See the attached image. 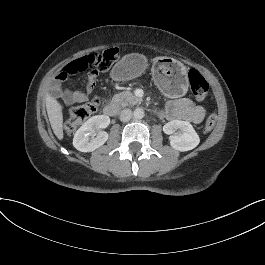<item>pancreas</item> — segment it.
Wrapping results in <instances>:
<instances>
[{"instance_id":"pancreas-1","label":"pancreas","mask_w":265,"mask_h":265,"mask_svg":"<svg viewBox=\"0 0 265 265\" xmlns=\"http://www.w3.org/2000/svg\"><path fill=\"white\" fill-rule=\"evenodd\" d=\"M112 101L119 104L122 108L126 106L136 105L142 103V98L134 96L129 91H122L113 96Z\"/></svg>"}]
</instances>
